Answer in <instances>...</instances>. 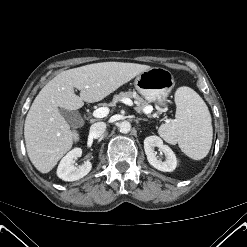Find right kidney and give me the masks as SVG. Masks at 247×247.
Listing matches in <instances>:
<instances>
[{"mask_svg": "<svg viewBox=\"0 0 247 247\" xmlns=\"http://www.w3.org/2000/svg\"><path fill=\"white\" fill-rule=\"evenodd\" d=\"M81 155V148H74L69 151L58 165L57 176L64 181H76L86 176L91 171V162L86 161L79 167L73 165L74 160L81 157Z\"/></svg>", "mask_w": 247, "mask_h": 247, "instance_id": "ca27d5eb", "label": "right kidney"}]
</instances>
